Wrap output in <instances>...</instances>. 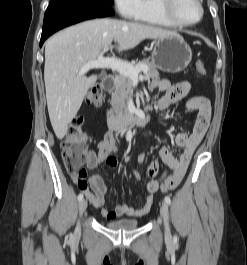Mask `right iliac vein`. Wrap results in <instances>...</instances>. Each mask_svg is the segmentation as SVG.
<instances>
[{
    "label": "right iliac vein",
    "mask_w": 247,
    "mask_h": 265,
    "mask_svg": "<svg viewBox=\"0 0 247 265\" xmlns=\"http://www.w3.org/2000/svg\"><path fill=\"white\" fill-rule=\"evenodd\" d=\"M86 208H87V201L81 200L79 203V215L80 216L85 212ZM79 230H80V227H79V223H78L77 229H76L77 233L79 232Z\"/></svg>",
    "instance_id": "obj_1"
}]
</instances>
